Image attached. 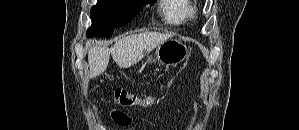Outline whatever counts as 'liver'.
<instances>
[{"label":"liver","instance_id":"obj_1","mask_svg":"<svg viewBox=\"0 0 299 130\" xmlns=\"http://www.w3.org/2000/svg\"><path fill=\"white\" fill-rule=\"evenodd\" d=\"M171 37L172 34L158 32L133 34L118 40L111 48L93 41L88 52L89 77L94 78L106 70L110 54L120 68H129L142 60L145 51L151 52Z\"/></svg>","mask_w":299,"mask_h":130}]
</instances>
